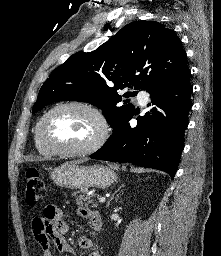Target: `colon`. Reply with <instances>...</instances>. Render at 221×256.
<instances>
[{
	"mask_svg": "<svg viewBox=\"0 0 221 256\" xmlns=\"http://www.w3.org/2000/svg\"><path fill=\"white\" fill-rule=\"evenodd\" d=\"M25 199L29 207H35L45 196V183L36 168H29L25 174Z\"/></svg>",
	"mask_w": 221,
	"mask_h": 256,
	"instance_id": "5ec220e1",
	"label": "colon"
}]
</instances>
